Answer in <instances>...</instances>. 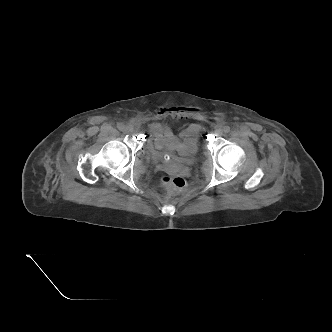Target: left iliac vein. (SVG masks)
<instances>
[{"mask_svg":"<svg viewBox=\"0 0 332 332\" xmlns=\"http://www.w3.org/2000/svg\"><path fill=\"white\" fill-rule=\"evenodd\" d=\"M215 133L218 135V136H221L223 135V130L221 128H218L216 129Z\"/></svg>","mask_w":332,"mask_h":332,"instance_id":"1","label":"left iliac vein"}]
</instances>
